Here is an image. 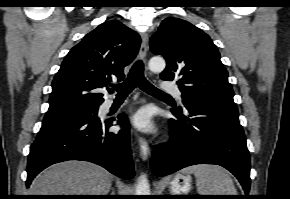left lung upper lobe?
Segmentation results:
<instances>
[{
    "mask_svg": "<svg viewBox=\"0 0 290 199\" xmlns=\"http://www.w3.org/2000/svg\"><path fill=\"white\" fill-rule=\"evenodd\" d=\"M150 48L165 57L167 66L161 79L178 80L183 103L195 100L238 111L218 49L202 30L185 20L167 18L151 37Z\"/></svg>",
    "mask_w": 290,
    "mask_h": 199,
    "instance_id": "5c2ea615",
    "label": "left lung upper lobe"
}]
</instances>
